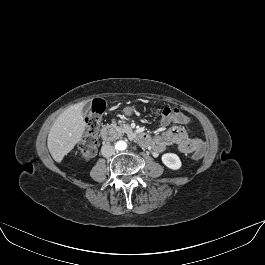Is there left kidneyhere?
I'll return each instance as SVG.
<instances>
[{"instance_id": "5707ae66", "label": "left kidney", "mask_w": 265, "mask_h": 265, "mask_svg": "<svg viewBox=\"0 0 265 265\" xmlns=\"http://www.w3.org/2000/svg\"><path fill=\"white\" fill-rule=\"evenodd\" d=\"M161 159L163 164L169 169L178 170L182 166L179 156L174 153H165Z\"/></svg>"}]
</instances>
